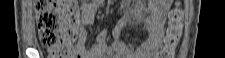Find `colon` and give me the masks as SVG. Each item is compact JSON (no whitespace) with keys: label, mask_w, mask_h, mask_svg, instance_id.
Here are the masks:
<instances>
[{"label":"colon","mask_w":225,"mask_h":58,"mask_svg":"<svg viewBox=\"0 0 225 58\" xmlns=\"http://www.w3.org/2000/svg\"><path fill=\"white\" fill-rule=\"evenodd\" d=\"M37 26L42 45L52 58H76L75 42L78 38L80 8L72 0L37 1ZM184 13L173 9L161 55L171 58L183 33Z\"/></svg>","instance_id":"5ec220e1"}]
</instances>
